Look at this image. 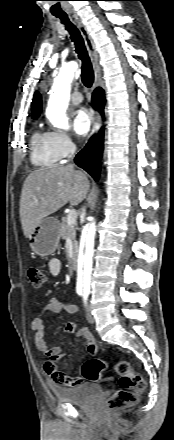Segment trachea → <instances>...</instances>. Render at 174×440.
<instances>
[{"instance_id": "1", "label": "trachea", "mask_w": 174, "mask_h": 440, "mask_svg": "<svg viewBox=\"0 0 174 440\" xmlns=\"http://www.w3.org/2000/svg\"><path fill=\"white\" fill-rule=\"evenodd\" d=\"M66 26V29L71 35V40L75 44V51L78 54L79 59L82 61V74L81 79L85 87L90 88L94 81V73L90 58L88 56L84 40L79 30L70 22L67 16H56Z\"/></svg>"}]
</instances>
